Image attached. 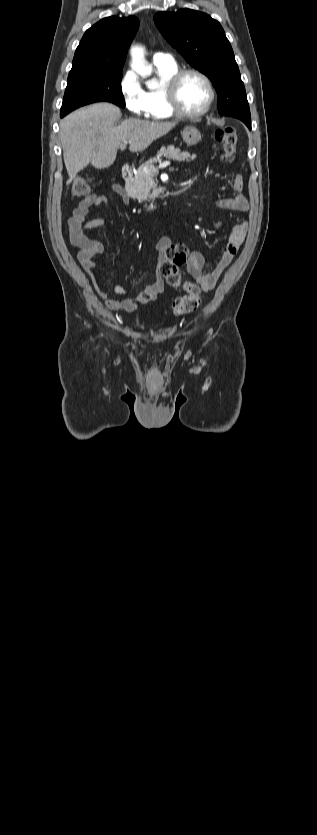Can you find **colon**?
Masks as SVG:
<instances>
[{"label":"colon","mask_w":317,"mask_h":835,"mask_svg":"<svg viewBox=\"0 0 317 835\" xmlns=\"http://www.w3.org/2000/svg\"><path fill=\"white\" fill-rule=\"evenodd\" d=\"M215 139L222 146L224 158L229 159L236 147V132L232 127L219 128L215 131ZM89 185L84 179L74 180L70 195L73 199L81 198L89 193ZM189 251V249H188ZM181 260L163 261L158 265V272L162 274L168 285L173 288L181 287L185 294L176 298L172 305L175 315L190 313L197 310L201 304V289L197 285L184 281L181 275ZM151 292H146L147 300L152 298Z\"/></svg>","instance_id":"obj_1"}]
</instances>
